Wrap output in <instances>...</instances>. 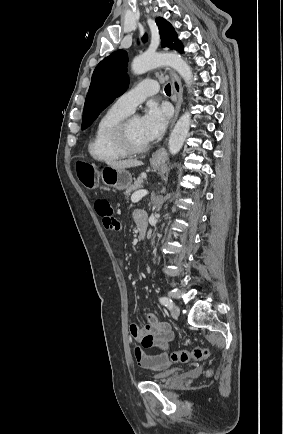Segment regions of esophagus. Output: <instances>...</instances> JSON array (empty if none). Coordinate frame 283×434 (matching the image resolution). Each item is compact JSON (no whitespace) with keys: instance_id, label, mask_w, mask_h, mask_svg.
<instances>
[{"instance_id":"1","label":"esophagus","mask_w":283,"mask_h":434,"mask_svg":"<svg viewBox=\"0 0 283 434\" xmlns=\"http://www.w3.org/2000/svg\"><path fill=\"white\" fill-rule=\"evenodd\" d=\"M170 77L172 81V89L176 96L175 116L172 121V125H173L178 118L181 105L183 102V88H182L181 80L175 71L170 70ZM166 158H167V151L164 147H160L152 155V160L155 162L164 161Z\"/></svg>"}]
</instances>
